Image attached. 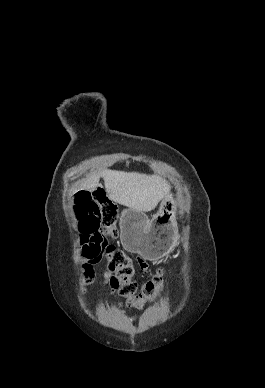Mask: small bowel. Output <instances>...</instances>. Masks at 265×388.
<instances>
[{"label":"small bowel","instance_id":"obj_1","mask_svg":"<svg viewBox=\"0 0 265 388\" xmlns=\"http://www.w3.org/2000/svg\"><path fill=\"white\" fill-rule=\"evenodd\" d=\"M139 267L143 272L146 273L148 265L145 261L139 260ZM104 277L106 279V285L109 286L110 291H115V288L113 287V284H112V274L109 271H107L104 273ZM107 323L114 325L119 330H124L126 325L125 321L122 319H116L113 322H107Z\"/></svg>","mask_w":265,"mask_h":388}]
</instances>
